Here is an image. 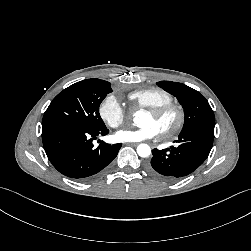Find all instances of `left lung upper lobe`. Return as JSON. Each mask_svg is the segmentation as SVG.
<instances>
[{
	"label": "left lung upper lobe",
	"mask_w": 251,
	"mask_h": 251,
	"mask_svg": "<svg viewBox=\"0 0 251 251\" xmlns=\"http://www.w3.org/2000/svg\"><path fill=\"white\" fill-rule=\"evenodd\" d=\"M158 86L177 97L184 107L185 121L181 133L207 129L214 131L215 117L208 101L193 88L178 82L160 81Z\"/></svg>",
	"instance_id": "1"
}]
</instances>
